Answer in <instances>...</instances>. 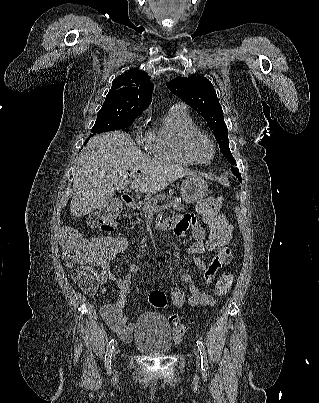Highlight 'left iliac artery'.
<instances>
[{
	"mask_svg": "<svg viewBox=\"0 0 319 403\" xmlns=\"http://www.w3.org/2000/svg\"><path fill=\"white\" fill-rule=\"evenodd\" d=\"M196 343H197L198 350H199L200 356H201V368L207 369L208 360H207V355H206V350H205L204 344L200 340H197Z\"/></svg>",
	"mask_w": 319,
	"mask_h": 403,
	"instance_id": "1",
	"label": "left iliac artery"
}]
</instances>
